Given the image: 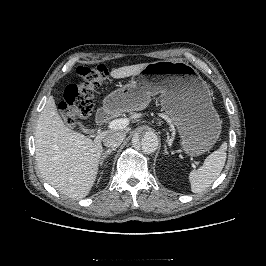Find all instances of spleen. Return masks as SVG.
Wrapping results in <instances>:
<instances>
[{"label":"spleen","mask_w":266,"mask_h":266,"mask_svg":"<svg viewBox=\"0 0 266 266\" xmlns=\"http://www.w3.org/2000/svg\"><path fill=\"white\" fill-rule=\"evenodd\" d=\"M227 143L224 142L221 147L211 153L203 165L189 173L191 191L201 193L205 191L220 175L226 161Z\"/></svg>","instance_id":"3e777b00"}]
</instances>
